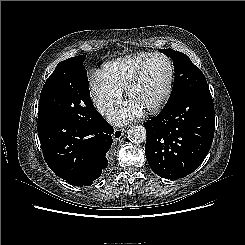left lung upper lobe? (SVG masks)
I'll return each instance as SVG.
<instances>
[{"label": "left lung upper lobe", "mask_w": 245, "mask_h": 245, "mask_svg": "<svg viewBox=\"0 0 245 245\" xmlns=\"http://www.w3.org/2000/svg\"><path fill=\"white\" fill-rule=\"evenodd\" d=\"M159 51L173 59L175 70V83L165 107L194 89L208 87L204 74L187 55L173 49H159Z\"/></svg>", "instance_id": "5c2ea615"}]
</instances>
